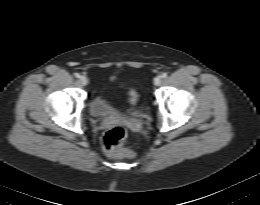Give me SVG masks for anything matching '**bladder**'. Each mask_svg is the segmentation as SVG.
<instances>
[{
  "label": "bladder",
  "instance_id": "1",
  "mask_svg": "<svg viewBox=\"0 0 260 205\" xmlns=\"http://www.w3.org/2000/svg\"><path fill=\"white\" fill-rule=\"evenodd\" d=\"M104 90L105 85L101 86L95 93L89 106L90 114L95 118L104 119L118 114L117 108H115L105 97Z\"/></svg>",
  "mask_w": 260,
  "mask_h": 205
}]
</instances>
